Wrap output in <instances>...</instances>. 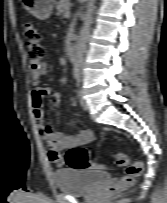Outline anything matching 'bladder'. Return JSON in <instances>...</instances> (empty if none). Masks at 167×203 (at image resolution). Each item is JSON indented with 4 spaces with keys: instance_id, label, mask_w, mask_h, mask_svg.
<instances>
[{
    "instance_id": "obj_1",
    "label": "bladder",
    "mask_w": 167,
    "mask_h": 203,
    "mask_svg": "<svg viewBox=\"0 0 167 203\" xmlns=\"http://www.w3.org/2000/svg\"><path fill=\"white\" fill-rule=\"evenodd\" d=\"M52 178L57 190L76 196L94 190L100 184L109 181L111 175L98 170L60 168L53 172Z\"/></svg>"
}]
</instances>
